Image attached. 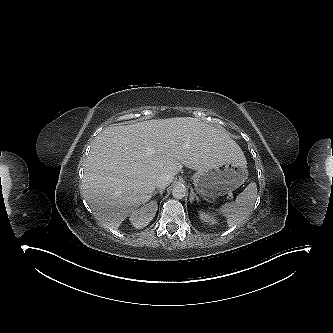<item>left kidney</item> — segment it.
<instances>
[{
    "mask_svg": "<svg viewBox=\"0 0 333 333\" xmlns=\"http://www.w3.org/2000/svg\"><path fill=\"white\" fill-rule=\"evenodd\" d=\"M199 217L204 222H208L210 224H216L217 223L216 218H214L213 216L205 213L204 211H199Z\"/></svg>",
    "mask_w": 333,
    "mask_h": 333,
    "instance_id": "obj_1",
    "label": "left kidney"
}]
</instances>
